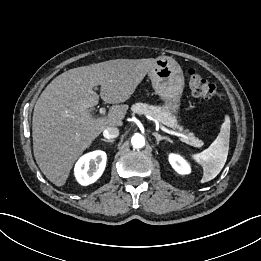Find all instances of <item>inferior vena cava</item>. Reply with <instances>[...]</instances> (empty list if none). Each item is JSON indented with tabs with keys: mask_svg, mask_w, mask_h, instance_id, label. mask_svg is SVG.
<instances>
[{
	"mask_svg": "<svg viewBox=\"0 0 261 261\" xmlns=\"http://www.w3.org/2000/svg\"><path fill=\"white\" fill-rule=\"evenodd\" d=\"M103 136L107 139H114L119 136V129L117 127L109 126L104 129Z\"/></svg>",
	"mask_w": 261,
	"mask_h": 261,
	"instance_id": "obj_1",
	"label": "inferior vena cava"
}]
</instances>
